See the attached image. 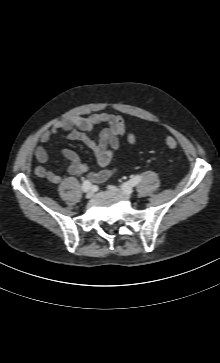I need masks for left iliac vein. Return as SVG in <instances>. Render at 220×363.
I'll return each mask as SVG.
<instances>
[{"instance_id":"obj_1","label":"left iliac vein","mask_w":220,"mask_h":363,"mask_svg":"<svg viewBox=\"0 0 220 363\" xmlns=\"http://www.w3.org/2000/svg\"><path fill=\"white\" fill-rule=\"evenodd\" d=\"M110 190L114 191V192H118L120 193L121 195H123L124 197L126 198H131V193H132V189L130 188L129 191H125L123 189H119V188H116V187H109Z\"/></svg>"}]
</instances>
